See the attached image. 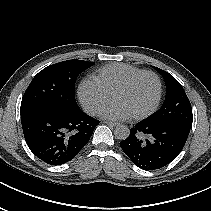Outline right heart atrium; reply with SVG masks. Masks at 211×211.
Masks as SVG:
<instances>
[{"instance_id":"d8ad5b80","label":"right heart atrium","mask_w":211,"mask_h":211,"mask_svg":"<svg viewBox=\"0 0 211 211\" xmlns=\"http://www.w3.org/2000/svg\"><path fill=\"white\" fill-rule=\"evenodd\" d=\"M80 102L90 114H98L111 100V94L95 79H84L78 89Z\"/></svg>"}]
</instances>
